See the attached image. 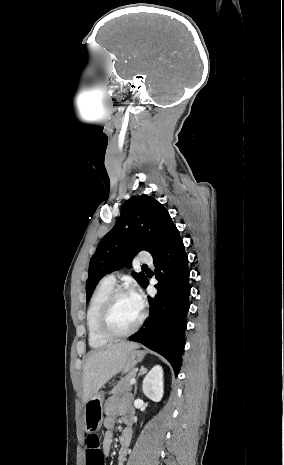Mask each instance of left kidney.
I'll return each instance as SVG.
<instances>
[{
  "label": "left kidney",
  "instance_id": "left-kidney-1",
  "mask_svg": "<svg viewBox=\"0 0 284 465\" xmlns=\"http://www.w3.org/2000/svg\"><path fill=\"white\" fill-rule=\"evenodd\" d=\"M142 391L148 399H151V401H155V403H159V401H161L164 393V387L163 371L160 365L153 367V369L149 371L148 375H146L143 381Z\"/></svg>",
  "mask_w": 284,
  "mask_h": 465
}]
</instances>
